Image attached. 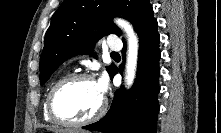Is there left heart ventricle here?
<instances>
[{
  "mask_svg": "<svg viewBox=\"0 0 221 133\" xmlns=\"http://www.w3.org/2000/svg\"><path fill=\"white\" fill-rule=\"evenodd\" d=\"M103 96L95 82L80 80L62 88L54 99L57 114L66 120H82L99 107Z\"/></svg>",
  "mask_w": 221,
  "mask_h": 133,
  "instance_id": "1",
  "label": "left heart ventricle"
}]
</instances>
